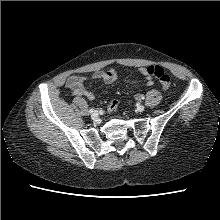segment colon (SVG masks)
I'll return each instance as SVG.
<instances>
[{
	"mask_svg": "<svg viewBox=\"0 0 220 220\" xmlns=\"http://www.w3.org/2000/svg\"><path fill=\"white\" fill-rule=\"evenodd\" d=\"M147 72L149 75L157 78L160 82V85L163 90H169L172 87V80L170 76L159 66H149L147 68ZM119 107V101L117 99H113L108 104V111L114 112Z\"/></svg>",
	"mask_w": 220,
	"mask_h": 220,
	"instance_id": "1",
	"label": "colon"
}]
</instances>
